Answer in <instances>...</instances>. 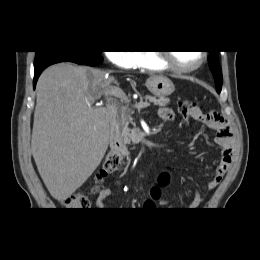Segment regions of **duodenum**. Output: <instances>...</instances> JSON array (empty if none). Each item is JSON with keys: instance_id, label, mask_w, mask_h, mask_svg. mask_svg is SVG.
<instances>
[{"instance_id": "obj_1", "label": "duodenum", "mask_w": 260, "mask_h": 260, "mask_svg": "<svg viewBox=\"0 0 260 260\" xmlns=\"http://www.w3.org/2000/svg\"><path fill=\"white\" fill-rule=\"evenodd\" d=\"M108 118L110 123V149L113 153L119 154L124 157H128L130 155V151L127 147L121 142L117 128H116V121H115V112L113 109L108 110Z\"/></svg>"}]
</instances>
